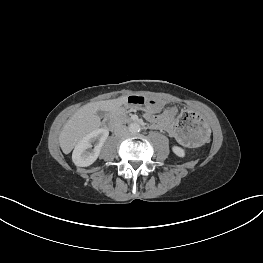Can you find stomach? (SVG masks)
Listing matches in <instances>:
<instances>
[{
    "label": "stomach",
    "mask_w": 263,
    "mask_h": 263,
    "mask_svg": "<svg viewBox=\"0 0 263 263\" xmlns=\"http://www.w3.org/2000/svg\"><path fill=\"white\" fill-rule=\"evenodd\" d=\"M162 103L141 97L130 95L127 97L125 107L156 111L162 107ZM161 122L172 128L178 134L179 142L187 148H192L205 143L209 138V129L202 118L185 105L177 104L173 107L167 106L161 112Z\"/></svg>",
    "instance_id": "obj_1"
}]
</instances>
